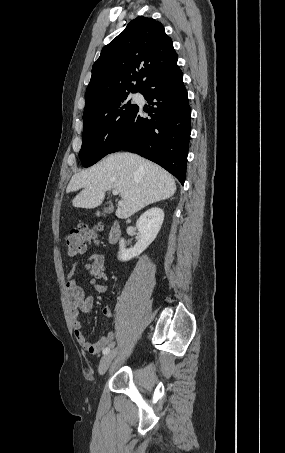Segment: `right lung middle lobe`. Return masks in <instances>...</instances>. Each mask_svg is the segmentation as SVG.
Returning <instances> with one entry per match:
<instances>
[{
	"label": "right lung middle lobe",
	"instance_id": "right-lung-middle-lobe-1",
	"mask_svg": "<svg viewBox=\"0 0 285 453\" xmlns=\"http://www.w3.org/2000/svg\"><path fill=\"white\" fill-rule=\"evenodd\" d=\"M139 107L127 95L113 98L83 114L81 163L89 167L110 153Z\"/></svg>",
	"mask_w": 285,
	"mask_h": 453
}]
</instances>
